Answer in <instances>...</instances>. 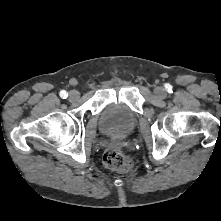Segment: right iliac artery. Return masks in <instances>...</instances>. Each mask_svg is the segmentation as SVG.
Masks as SVG:
<instances>
[{
  "mask_svg": "<svg viewBox=\"0 0 221 221\" xmlns=\"http://www.w3.org/2000/svg\"><path fill=\"white\" fill-rule=\"evenodd\" d=\"M60 96L65 99V98H67L68 95H67L66 91L63 90L60 92Z\"/></svg>",
  "mask_w": 221,
  "mask_h": 221,
  "instance_id": "82829eb1",
  "label": "right iliac artery"
}]
</instances>
